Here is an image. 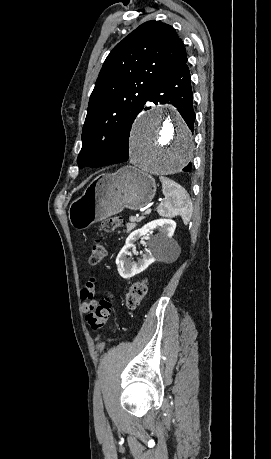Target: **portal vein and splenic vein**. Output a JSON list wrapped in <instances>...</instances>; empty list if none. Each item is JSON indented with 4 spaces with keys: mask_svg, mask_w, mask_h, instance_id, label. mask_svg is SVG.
I'll return each instance as SVG.
<instances>
[{
    "mask_svg": "<svg viewBox=\"0 0 271 459\" xmlns=\"http://www.w3.org/2000/svg\"><path fill=\"white\" fill-rule=\"evenodd\" d=\"M150 212H151V210H149V209H146V212H145V214H150Z\"/></svg>",
    "mask_w": 271,
    "mask_h": 459,
    "instance_id": "obj_1",
    "label": "portal vein and splenic vein"
}]
</instances>
